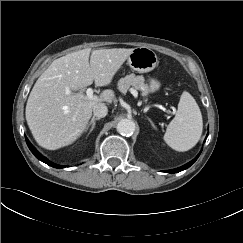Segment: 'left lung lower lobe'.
<instances>
[{"instance_id": "obj_1", "label": "left lung lower lobe", "mask_w": 243, "mask_h": 243, "mask_svg": "<svg viewBox=\"0 0 243 243\" xmlns=\"http://www.w3.org/2000/svg\"><path fill=\"white\" fill-rule=\"evenodd\" d=\"M200 153L196 156V158H194L192 161H190L189 163L179 167V168H176V169H172V170H167L165 172H168V173H177V172H180V171H183L187 168H189L196 160L197 158L199 157Z\"/></svg>"}]
</instances>
